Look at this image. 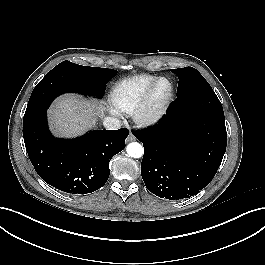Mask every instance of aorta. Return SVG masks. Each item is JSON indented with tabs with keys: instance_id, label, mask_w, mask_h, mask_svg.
Returning a JSON list of instances; mask_svg holds the SVG:
<instances>
[{
	"instance_id": "obj_1",
	"label": "aorta",
	"mask_w": 265,
	"mask_h": 265,
	"mask_svg": "<svg viewBox=\"0 0 265 265\" xmlns=\"http://www.w3.org/2000/svg\"><path fill=\"white\" fill-rule=\"evenodd\" d=\"M127 154L132 158H140L143 156V146L138 142H132L127 145Z\"/></svg>"
}]
</instances>
